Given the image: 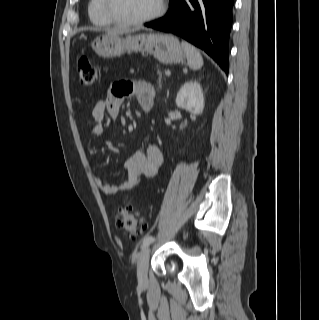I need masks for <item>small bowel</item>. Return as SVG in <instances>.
<instances>
[{"label": "small bowel", "mask_w": 319, "mask_h": 320, "mask_svg": "<svg viewBox=\"0 0 319 320\" xmlns=\"http://www.w3.org/2000/svg\"><path fill=\"white\" fill-rule=\"evenodd\" d=\"M129 97H135L141 109L149 111L154 104L155 90L152 85L141 81L118 80L114 82L110 86L107 96L98 100L92 109V137L97 138L104 134L102 121L105 115L107 114L111 119L116 120L122 103ZM162 160L160 149L156 145H149L144 152L136 151L126 159L124 167L127 176L122 182L114 185L98 176L95 178V183L107 196L129 191L138 186L142 177H155Z\"/></svg>", "instance_id": "c3829d8e"}]
</instances>
